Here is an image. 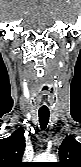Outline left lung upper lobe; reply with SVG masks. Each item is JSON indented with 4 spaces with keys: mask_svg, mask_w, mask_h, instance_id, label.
I'll use <instances>...</instances> for the list:
<instances>
[{
    "mask_svg": "<svg viewBox=\"0 0 81 167\" xmlns=\"http://www.w3.org/2000/svg\"><path fill=\"white\" fill-rule=\"evenodd\" d=\"M60 162L55 167H81V144L67 136L59 148Z\"/></svg>",
    "mask_w": 81,
    "mask_h": 167,
    "instance_id": "5c2ea615",
    "label": "left lung upper lobe"
}]
</instances>
